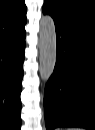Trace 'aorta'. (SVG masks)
<instances>
[{
    "label": "aorta",
    "mask_w": 95,
    "mask_h": 130,
    "mask_svg": "<svg viewBox=\"0 0 95 130\" xmlns=\"http://www.w3.org/2000/svg\"><path fill=\"white\" fill-rule=\"evenodd\" d=\"M39 50V74L41 80L46 83L51 77L56 63L55 24L49 15L43 16L40 21Z\"/></svg>",
    "instance_id": "obj_1"
}]
</instances>
